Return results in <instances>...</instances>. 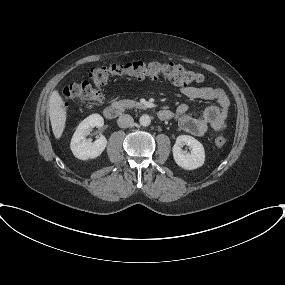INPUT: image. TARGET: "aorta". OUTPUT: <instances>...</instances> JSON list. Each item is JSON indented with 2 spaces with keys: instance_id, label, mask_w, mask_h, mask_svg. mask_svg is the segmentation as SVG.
Masks as SVG:
<instances>
[{
  "instance_id": "762f6f07",
  "label": "aorta",
  "mask_w": 285,
  "mask_h": 285,
  "mask_svg": "<svg viewBox=\"0 0 285 285\" xmlns=\"http://www.w3.org/2000/svg\"><path fill=\"white\" fill-rule=\"evenodd\" d=\"M139 122L142 126H149L151 123V118L149 115H142L139 119Z\"/></svg>"
}]
</instances>
